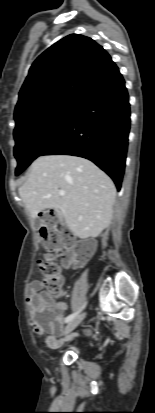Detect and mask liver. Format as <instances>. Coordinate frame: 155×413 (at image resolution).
I'll use <instances>...</instances> for the list:
<instances>
[{
	"label": "liver",
	"instance_id": "liver-1",
	"mask_svg": "<svg viewBox=\"0 0 155 413\" xmlns=\"http://www.w3.org/2000/svg\"><path fill=\"white\" fill-rule=\"evenodd\" d=\"M65 191L61 196L59 191ZM19 195L35 219L42 210L59 211L77 237L96 238L109 226L116 188L91 161L71 155L40 156L31 165Z\"/></svg>",
	"mask_w": 155,
	"mask_h": 413
}]
</instances>
